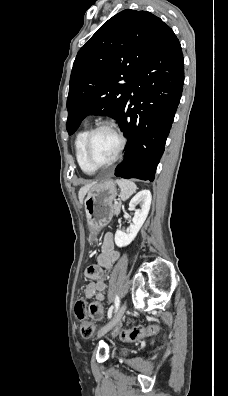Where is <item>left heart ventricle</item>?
Listing matches in <instances>:
<instances>
[{"label": "left heart ventricle", "mask_w": 228, "mask_h": 396, "mask_svg": "<svg viewBox=\"0 0 228 396\" xmlns=\"http://www.w3.org/2000/svg\"><path fill=\"white\" fill-rule=\"evenodd\" d=\"M117 147V136L110 129H102L92 139L90 158L96 165L106 164L114 157Z\"/></svg>", "instance_id": "1"}]
</instances>
